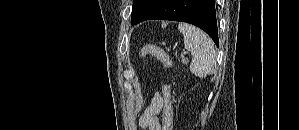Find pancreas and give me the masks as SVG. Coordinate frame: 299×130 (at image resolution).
<instances>
[{
    "label": "pancreas",
    "instance_id": "obj_1",
    "mask_svg": "<svg viewBox=\"0 0 299 130\" xmlns=\"http://www.w3.org/2000/svg\"><path fill=\"white\" fill-rule=\"evenodd\" d=\"M186 59L184 57H182L181 62L186 63Z\"/></svg>",
    "mask_w": 299,
    "mask_h": 130
}]
</instances>
